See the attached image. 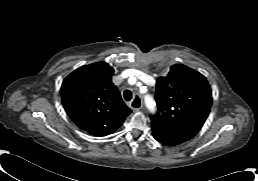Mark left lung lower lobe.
I'll return each mask as SVG.
<instances>
[{"instance_id":"obj_1","label":"left lung lower lobe","mask_w":258,"mask_h":181,"mask_svg":"<svg viewBox=\"0 0 258 181\" xmlns=\"http://www.w3.org/2000/svg\"><path fill=\"white\" fill-rule=\"evenodd\" d=\"M152 132H153L154 138L158 142L168 146H174L191 139L183 135L172 133L155 126H152Z\"/></svg>"}]
</instances>
